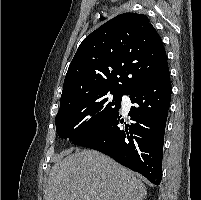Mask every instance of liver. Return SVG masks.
<instances>
[{
	"mask_svg": "<svg viewBox=\"0 0 201 200\" xmlns=\"http://www.w3.org/2000/svg\"><path fill=\"white\" fill-rule=\"evenodd\" d=\"M135 174L94 150H76L51 169L44 200H143Z\"/></svg>",
	"mask_w": 201,
	"mask_h": 200,
	"instance_id": "1",
	"label": "liver"
}]
</instances>
